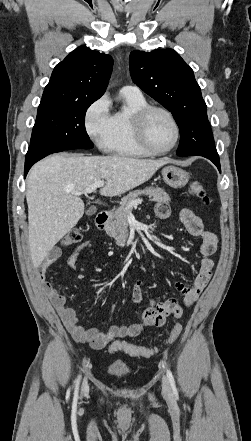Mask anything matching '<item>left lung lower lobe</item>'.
Returning <instances> with one entry per match:
<instances>
[{
  "label": "left lung lower lobe",
  "instance_id": "0a47b994",
  "mask_svg": "<svg viewBox=\"0 0 251 441\" xmlns=\"http://www.w3.org/2000/svg\"><path fill=\"white\" fill-rule=\"evenodd\" d=\"M177 155L182 157L203 156L210 159L221 171L209 122H200L182 131Z\"/></svg>",
  "mask_w": 251,
  "mask_h": 441
}]
</instances>
